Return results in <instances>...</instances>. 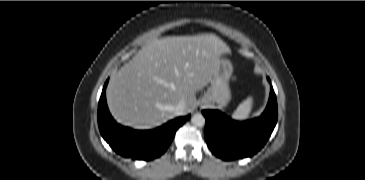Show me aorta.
Masks as SVG:
<instances>
[{
  "label": "aorta",
  "mask_w": 365,
  "mask_h": 180,
  "mask_svg": "<svg viewBox=\"0 0 365 180\" xmlns=\"http://www.w3.org/2000/svg\"><path fill=\"white\" fill-rule=\"evenodd\" d=\"M191 122L195 126L202 127L205 125V118L202 114L198 113L192 116Z\"/></svg>",
  "instance_id": "1"
}]
</instances>
